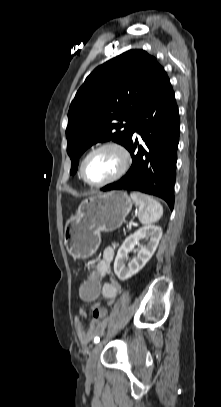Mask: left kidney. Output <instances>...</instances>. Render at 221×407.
Wrapping results in <instances>:
<instances>
[{
    "label": "left kidney",
    "instance_id": "1",
    "mask_svg": "<svg viewBox=\"0 0 221 407\" xmlns=\"http://www.w3.org/2000/svg\"><path fill=\"white\" fill-rule=\"evenodd\" d=\"M144 237L149 239L148 243L140 247L138 255L126 266L125 260L128 258V253L135 245L139 244V241ZM161 237L162 229L156 225L144 226L139 228L134 234L128 236L119 248L115 258L114 272L117 277L125 281L137 274L153 256Z\"/></svg>",
    "mask_w": 221,
    "mask_h": 407
}]
</instances>
